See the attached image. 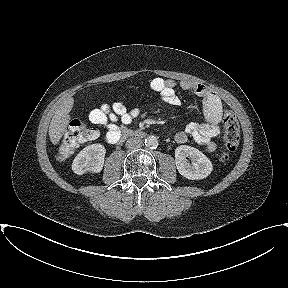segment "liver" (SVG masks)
I'll return each instance as SVG.
<instances>
[{
	"label": "liver",
	"mask_w": 288,
	"mask_h": 288,
	"mask_svg": "<svg viewBox=\"0 0 288 288\" xmlns=\"http://www.w3.org/2000/svg\"><path fill=\"white\" fill-rule=\"evenodd\" d=\"M74 104L73 98H68L60 105L59 109L53 116L49 126V138L52 144L56 145L66 132V128L70 121V112Z\"/></svg>",
	"instance_id": "1"
}]
</instances>
